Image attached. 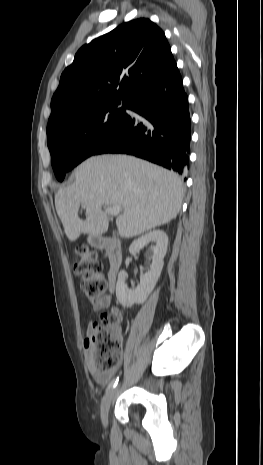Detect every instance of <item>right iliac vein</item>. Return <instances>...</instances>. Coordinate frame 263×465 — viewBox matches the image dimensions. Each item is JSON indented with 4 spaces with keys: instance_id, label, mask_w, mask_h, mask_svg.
<instances>
[{
    "instance_id": "right-iliac-vein-1",
    "label": "right iliac vein",
    "mask_w": 263,
    "mask_h": 465,
    "mask_svg": "<svg viewBox=\"0 0 263 465\" xmlns=\"http://www.w3.org/2000/svg\"><path fill=\"white\" fill-rule=\"evenodd\" d=\"M118 390V387H115L111 390L108 391L106 396L104 397L102 404H101V420L104 426L107 425L108 423V413H109V408L111 405V402Z\"/></svg>"
}]
</instances>
